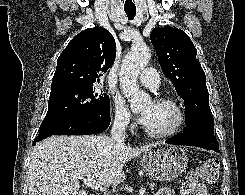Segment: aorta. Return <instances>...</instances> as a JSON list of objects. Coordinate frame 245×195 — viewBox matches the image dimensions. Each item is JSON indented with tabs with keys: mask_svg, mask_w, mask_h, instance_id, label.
Here are the masks:
<instances>
[{
	"mask_svg": "<svg viewBox=\"0 0 245 195\" xmlns=\"http://www.w3.org/2000/svg\"><path fill=\"white\" fill-rule=\"evenodd\" d=\"M149 60V48L142 44L133 46L122 61L119 71L120 86L132 111H138L150 102V96L139 90L137 85L138 76Z\"/></svg>",
	"mask_w": 245,
	"mask_h": 195,
	"instance_id": "obj_1",
	"label": "aorta"
}]
</instances>
